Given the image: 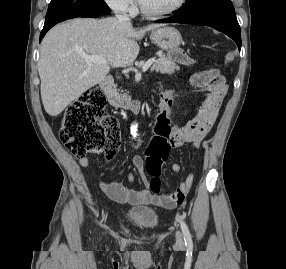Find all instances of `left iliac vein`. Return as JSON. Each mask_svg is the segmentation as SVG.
Listing matches in <instances>:
<instances>
[{
  "instance_id": "1",
  "label": "left iliac vein",
  "mask_w": 286,
  "mask_h": 269,
  "mask_svg": "<svg viewBox=\"0 0 286 269\" xmlns=\"http://www.w3.org/2000/svg\"><path fill=\"white\" fill-rule=\"evenodd\" d=\"M176 240L178 245H182L183 240H182V234L180 232H177L176 234Z\"/></svg>"
}]
</instances>
